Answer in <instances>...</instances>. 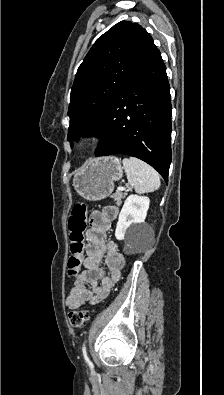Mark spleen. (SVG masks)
<instances>
[{
  "instance_id": "3e777b00",
  "label": "spleen",
  "mask_w": 224,
  "mask_h": 395,
  "mask_svg": "<svg viewBox=\"0 0 224 395\" xmlns=\"http://www.w3.org/2000/svg\"><path fill=\"white\" fill-rule=\"evenodd\" d=\"M123 166L128 183L137 193H149L160 187V177L157 171L147 163L135 157L123 159Z\"/></svg>"
}]
</instances>
